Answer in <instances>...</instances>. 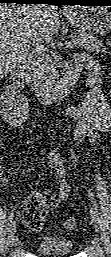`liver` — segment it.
Wrapping results in <instances>:
<instances>
[{
  "label": "liver",
  "mask_w": 111,
  "mask_h": 257,
  "mask_svg": "<svg viewBox=\"0 0 111 257\" xmlns=\"http://www.w3.org/2000/svg\"><path fill=\"white\" fill-rule=\"evenodd\" d=\"M58 15L50 7L1 6V74L18 68L32 46L55 30Z\"/></svg>",
  "instance_id": "6515ba94"
}]
</instances>
